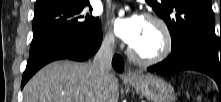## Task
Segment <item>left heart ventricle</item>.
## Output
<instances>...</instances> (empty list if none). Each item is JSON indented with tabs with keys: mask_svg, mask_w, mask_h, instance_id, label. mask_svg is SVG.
Returning <instances> with one entry per match:
<instances>
[{
	"mask_svg": "<svg viewBox=\"0 0 221 102\" xmlns=\"http://www.w3.org/2000/svg\"><path fill=\"white\" fill-rule=\"evenodd\" d=\"M131 47L143 57L158 54L163 47V36L158 26L144 19L140 35Z\"/></svg>",
	"mask_w": 221,
	"mask_h": 102,
	"instance_id": "b2bd125f",
	"label": "left heart ventricle"
}]
</instances>
